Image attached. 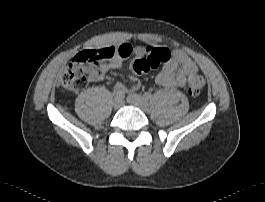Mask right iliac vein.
<instances>
[{
    "label": "right iliac vein",
    "instance_id": "1",
    "mask_svg": "<svg viewBox=\"0 0 265 202\" xmlns=\"http://www.w3.org/2000/svg\"><path fill=\"white\" fill-rule=\"evenodd\" d=\"M123 104L122 98H114L113 100V108L114 109H119Z\"/></svg>",
    "mask_w": 265,
    "mask_h": 202
}]
</instances>
